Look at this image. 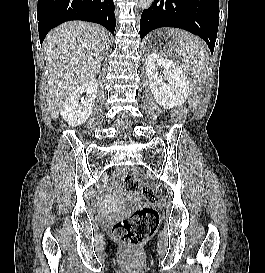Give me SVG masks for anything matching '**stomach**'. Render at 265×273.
<instances>
[{"label":"stomach","mask_w":265,"mask_h":273,"mask_svg":"<svg viewBox=\"0 0 265 273\" xmlns=\"http://www.w3.org/2000/svg\"><path fill=\"white\" fill-rule=\"evenodd\" d=\"M154 34L142 40L144 49H173L179 30H155ZM153 56H171V51H153Z\"/></svg>","instance_id":"1"}]
</instances>
